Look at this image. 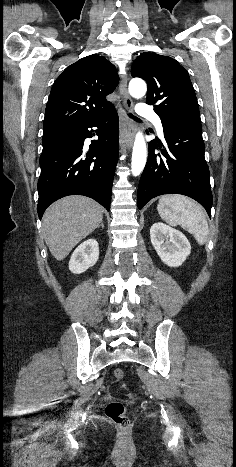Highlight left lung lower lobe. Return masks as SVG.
Wrapping results in <instances>:
<instances>
[{"label":"left lung lower lobe","instance_id":"1","mask_svg":"<svg viewBox=\"0 0 236 467\" xmlns=\"http://www.w3.org/2000/svg\"><path fill=\"white\" fill-rule=\"evenodd\" d=\"M167 147L153 140L148 145V160L138 187V207L163 194H182L199 202L211 217L212 192L209 168L204 158L205 145L201 122H162Z\"/></svg>","mask_w":236,"mask_h":467}]
</instances>
